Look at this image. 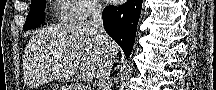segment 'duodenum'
<instances>
[{
	"mask_svg": "<svg viewBox=\"0 0 216 90\" xmlns=\"http://www.w3.org/2000/svg\"><path fill=\"white\" fill-rule=\"evenodd\" d=\"M69 90H88L87 87H70Z\"/></svg>",
	"mask_w": 216,
	"mask_h": 90,
	"instance_id": "obj_1",
	"label": "duodenum"
}]
</instances>
